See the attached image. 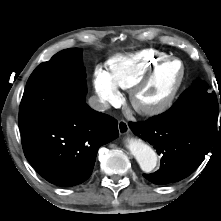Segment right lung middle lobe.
<instances>
[{
    "label": "right lung middle lobe",
    "instance_id": "obj_1",
    "mask_svg": "<svg viewBox=\"0 0 221 221\" xmlns=\"http://www.w3.org/2000/svg\"><path fill=\"white\" fill-rule=\"evenodd\" d=\"M82 49L70 48L40 64L29 77L19 111L20 131L48 122L86 96Z\"/></svg>",
    "mask_w": 221,
    "mask_h": 221
}]
</instances>
